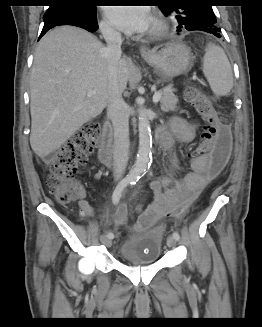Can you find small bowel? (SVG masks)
Listing matches in <instances>:
<instances>
[{
	"label": "small bowel",
	"instance_id": "c3829d8e",
	"mask_svg": "<svg viewBox=\"0 0 262 327\" xmlns=\"http://www.w3.org/2000/svg\"><path fill=\"white\" fill-rule=\"evenodd\" d=\"M197 130L198 124L182 118H174L168 128L161 127L157 130V139L168 154V171L161 179L150 182L149 188L155 199L147 209H143L141 204L137 206L138 221L133 225L135 230L151 228L160 218L166 217L170 209H177L186 200L192 203L212 177L213 172H208L207 169L212 164H208V157H203L202 153H190L189 159L194 160L192 170L178 177L179 160L172 149L175 143H191ZM78 207L83 217L93 215V209L84 195L78 200Z\"/></svg>",
	"mask_w": 262,
	"mask_h": 327
}]
</instances>
